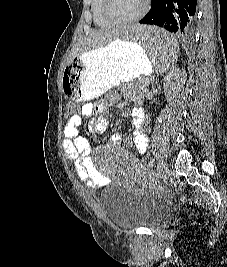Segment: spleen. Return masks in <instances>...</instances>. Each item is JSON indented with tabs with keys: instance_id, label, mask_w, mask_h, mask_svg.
Listing matches in <instances>:
<instances>
[{
	"instance_id": "obj_1",
	"label": "spleen",
	"mask_w": 227,
	"mask_h": 267,
	"mask_svg": "<svg viewBox=\"0 0 227 267\" xmlns=\"http://www.w3.org/2000/svg\"><path fill=\"white\" fill-rule=\"evenodd\" d=\"M118 30H128V33H122L121 41L138 43L144 47L150 63H154V72H159V77H164V72H171L175 67L179 55L177 38L164 30L160 31L155 23H148L146 27L141 22H130V25H118Z\"/></svg>"
}]
</instances>
